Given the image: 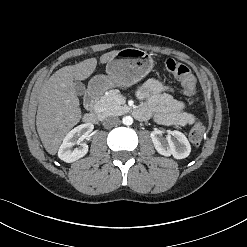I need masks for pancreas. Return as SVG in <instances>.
I'll list each match as a JSON object with an SVG mask.
<instances>
[{
    "label": "pancreas",
    "instance_id": "cf45deb5",
    "mask_svg": "<svg viewBox=\"0 0 247 247\" xmlns=\"http://www.w3.org/2000/svg\"><path fill=\"white\" fill-rule=\"evenodd\" d=\"M119 92L116 89L109 90L96 104V111L100 115H119L126 106L119 104L116 98Z\"/></svg>",
    "mask_w": 247,
    "mask_h": 247
}]
</instances>
